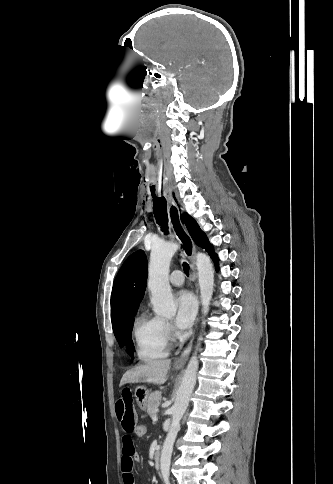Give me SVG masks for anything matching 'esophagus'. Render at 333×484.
<instances>
[{
    "label": "esophagus",
    "instance_id": "esophagus-1",
    "mask_svg": "<svg viewBox=\"0 0 333 484\" xmlns=\"http://www.w3.org/2000/svg\"><path fill=\"white\" fill-rule=\"evenodd\" d=\"M168 214L172 230L182 245V255L191 261L192 266V277L197 280V270L195 261V245L186 230V227L182 221V210L179 209L177 203L172 196H168ZM196 298L199 305V295H198V283L196 281ZM193 338L191 339L188 346L182 352V354L175 359L174 365L177 367L184 366L189 358L190 352L192 350Z\"/></svg>",
    "mask_w": 333,
    "mask_h": 484
}]
</instances>
